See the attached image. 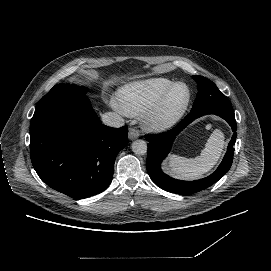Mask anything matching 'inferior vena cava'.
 Returning <instances> with one entry per match:
<instances>
[{
  "instance_id": "602c4592",
  "label": "inferior vena cava",
  "mask_w": 271,
  "mask_h": 271,
  "mask_svg": "<svg viewBox=\"0 0 271 271\" xmlns=\"http://www.w3.org/2000/svg\"><path fill=\"white\" fill-rule=\"evenodd\" d=\"M102 121L105 125L114 127V128H120L124 126V120L122 117L115 113H105L102 115Z\"/></svg>"
}]
</instances>
